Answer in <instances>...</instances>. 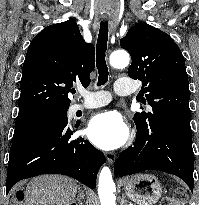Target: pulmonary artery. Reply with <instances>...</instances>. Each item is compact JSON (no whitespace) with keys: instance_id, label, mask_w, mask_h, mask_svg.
Masks as SVG:
<instances>
[{"instance_id":"pulmonary-artery-1","label":"pulmonary artery","mask_w":199,"mask_h":205,"mask_svg":"<svg viewBox=\"0 0 199 205\" xmlns=\"http://www.w3.org/2000/svg\"><path fill=\"white\" fill-rule=\"evenodd\" d=\"M114 90L118 95H129L134 92L135 87L125 79H118L115 83ZM84 95V101L75 103L71 106V113H76L77 111L97 108L106 105L111 99L110 94L107 92H100L97 94L89 93Z\"/></svg>"}]
</instances>
